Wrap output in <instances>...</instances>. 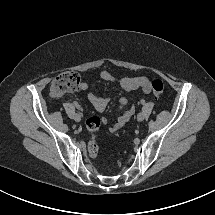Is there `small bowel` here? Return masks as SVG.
Returning <instances> with one entry per match:
<instances>
[{
  "label": "small bowel",
  "mask_w": 215,
  "mask_h": 215,
  "mask_svg": "<svg viewBox=\"0 0 215 215\" xmlns=\"http://www.w3.org/2000/svg\"><path fill=\"white\" fill-rule=\"evenodd\" d=\"M99 76L100 79L104 82H117L121 89L125 92L137 89H141L144 93H148L150 91V81L147 77L144 76L123 77L117 80L108 71H102ZM81 89L83 91H87L88 84L86 82H83L81 84ZM87 98L92 103L95 111L99 113L103 112L110 102V98L102 97L92 92H88ZM119 108L121 109V114L118 116L117 121L111 126L110 131L112 132H116L122 129L127 124L134 111V108L132 106L128 107V99L126 97H122L120 99ZM103 123H106V119H103Z\"/></svg>",
  "instance_id": "small-bowel-1"
}]
</instances>
